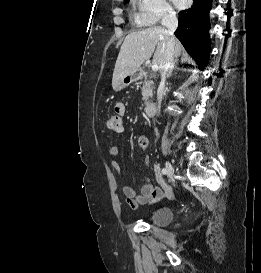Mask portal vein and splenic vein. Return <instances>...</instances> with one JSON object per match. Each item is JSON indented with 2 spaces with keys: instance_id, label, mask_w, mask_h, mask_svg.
I'll return each instance as SVG.
<instances>
[{
  "instance_id": "obj_1",
  "label": "portal vein and splenic vein",
  "mask_w": 261,
  "mask_h": 273,
  "mask_svg": "<svg viewBox=\"0 0 261 273\" xmlns=\"http://www.w3.org/2000/svg\"><path fill=\"white\" fill-rule=\"evenodd\" d=\"M142 50H144V48H142ZM151 68H152V71H153V72H156V71H158L159 66H158V64H153V65L151 66Z\"/></svg>"
}]
</instances>
